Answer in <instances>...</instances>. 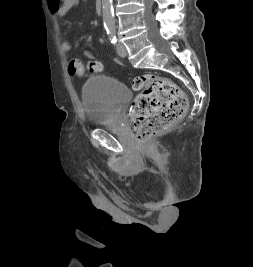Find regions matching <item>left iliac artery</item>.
<instances>
[{
    "label": "left iliac artery",
    "instance_id": "obj_1",
    "mask_svg": "<svg viewBox=\"0 0 253 267\" xmlns=\"http://www.w3.org/2000/svg\"><path fill=\"white\" fill-rule=\"evenodd\" d=\"M106 30H107V34L109 36L110 42L115 45L117 42L115 30L113 28H110V27L106 28Z\"/></svg>",
    "mask_w": 253,
    "mask_h": 267
}]
</instances>
